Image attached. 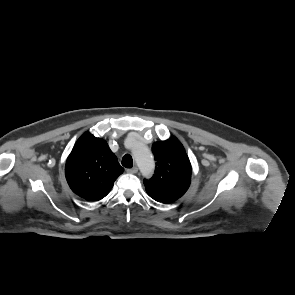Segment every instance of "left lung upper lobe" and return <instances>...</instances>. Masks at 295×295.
Segmentation results:
<instances>
[{
    "label": "left lung upper lobe",
    "mask_w": 295,
    "mask_h": 295,
    "mask_svg": "<svg viewBox=\"0 0 295 295\" xmlns=\"http://www.w3.org/2000/svg\"><path fill=\"white\" fill-rule=\"evenodd\" d=\"M152 152L156 160L153 177L144 179L147 194L154 200L170 204L187 191L192 168L183 145L177 138L155 142Z\"/></svg>",
    "instance_id": "left-lung-upper-lobe-1"
}]
</instances>
